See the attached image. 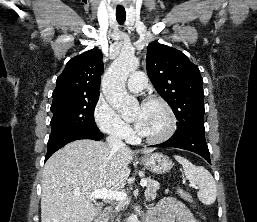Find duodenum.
I'll list each match as a JSON object with an SVG mask.
<instances>
[{
  "instance_id": "duodenum-1",
  "label": "duodenum",
  "mask_w": 257,
  "mask_h": 222,
  "mask_svg": "<svg viewBox=\"0 0 257 222\" xmlns=\"http://www.w3.org/2000/svg\"><path fill=\"white\" fill-rule=\"evenodd\" d=\"M111 211L110 206H105L101 215L94 222H107Z\"/></svg>"
}]
</instances>
